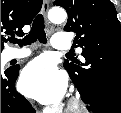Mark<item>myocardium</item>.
I'll return each instance as SVG.
<instances>
[{"instance_id":"f54148a6","label":"myocardium","mask_w":121,"mask_h":113,"mask_svg":"<svg viewBox=\"0 0 121 113\" xmlns=\"http://www.w3.org/2000/svg\"><path fill=\"white\" fill-rule=\"evenodd\" d=\"M84 101L77 96H71L68 100L66 109L68 110H76L84 108Z\"/></svg>"}]
</instances>
